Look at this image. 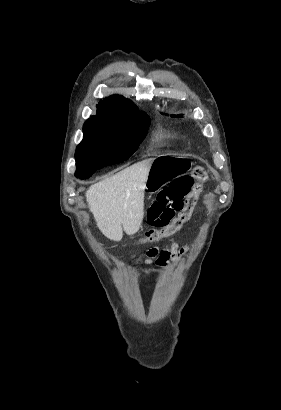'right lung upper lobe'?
Masks as SVG:
<instances>
[{
  "instance_id": "cb5924a9",
  "label": "right lung upper lobe",
  "mask_w": 281,
  "mask_h": 410,
  "mask_svg": "<svg viewBox=\"0 0 281 410\" xmlns=\"http://www.w3.org/2000/svg\"><path fill=\"white\" fill-rule=\"evenodd\" d=\"M96 107L97 115L92 118L99 120L127 122L148 116L145 112L138 111L131 100L120 95L107 97Z\"/></svg>"
}]
</instances>
